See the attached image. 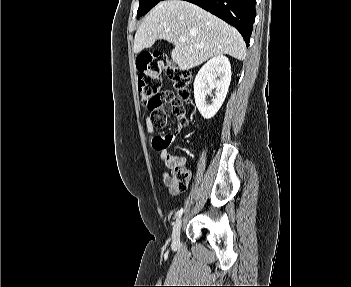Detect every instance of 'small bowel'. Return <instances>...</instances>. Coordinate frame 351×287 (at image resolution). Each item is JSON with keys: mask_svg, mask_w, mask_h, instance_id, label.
Wrapping results in <instances>:
<instances>
[{"mask_svg": "<svg viewBox=\"0 0 351 287\" xmlns=\"http://www.w3.org/2000/svg\"><path fill=\"white\" fill-rule=\"evenodd\" d=\"M187 119V117H186ZM188 122V119H187ZM145 126L147 129V132L150 134L149 136V141L151 142V147L153 148L154 152H159V158L160 160L169 167H172L174 165H183L185 163V160L181 157L177 156H171L168 153L164 151V148H171V143L176 139L179 131L184 127V125L181 124L180 121H178V126L175 132L167 134L165 136H158V133L154 129L151 119L146 118L145 119ZM162 182L170 188V191L172 194H177V190L175 187V182L173 178L166 172L162 174Z\"/></svg>", "mask_w": 351, "mask_h": 287, "instance_id": "c3829d8e", "label": "small bowel"}]
</instances>
